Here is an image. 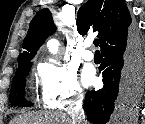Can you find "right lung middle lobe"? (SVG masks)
<instances>
[{
	"label": "right lung middle lobe",
	"instance_id": "right-lung-middle-lobe-1",
	"mask_svg": "<svg viewBox=\"0 0 145 124\" xmlns=\"http://www.w3.org/2000/svg\"><path fill=\"white\" fill-rule=\"evenodd\" d=\"M31 63L22 65L13 78L9 101L13 106L24 107L29 106L24 99L25 77L30 71Z\"/></svg>",
	"mask_w": 145,
	"mask_h": 124
}]
</instances>
